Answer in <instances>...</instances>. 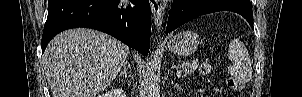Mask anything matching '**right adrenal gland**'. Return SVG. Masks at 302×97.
I'll return each mask as SVG.
<instances>
[{"label": "right adrenal gland", "instance_id": "2a0ac1e0", "mask_svg": "<svg viewBox=\"0 0 302 97\" xmlns=\"http://www.w3.org/2000/svg\"><path fill=\"white\" fill-rule=\"evenodd\" d=\"M128 68H129V65L127 66V64L124 63L123 70L119 73V76H125L127 78L128 77Z\"/></svg>", "mask_w": 302, "mask_h": 97}]
</instances>
